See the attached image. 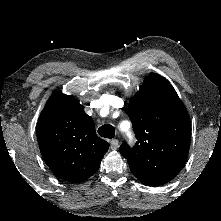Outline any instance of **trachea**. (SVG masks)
<instances>
[{"label": "trachea", "mask_w": 221, "mask_h": 221, "mask_svg": "<svg viewBox=\"0 0 221 221\" xmlns=\"http://www.w3.org/2000/svg\"><path fill=\"white\" fill-rule=\"evenodd\" d=\"M98 134L104 138L111 139L115 136V129L112 125L106 124L98 129Z\"/></svg>", "instance_id": "obj_1"}]
</instances>
